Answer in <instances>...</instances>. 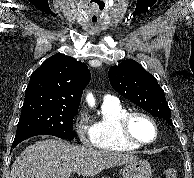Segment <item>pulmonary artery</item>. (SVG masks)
Wrapping results in <instances>:
<instances>
[{
    "mask_svg": "<svg viewBox=\"0 0 194 178\" xmlns=\"http://www.w3.org/2000/svg\"><path fill=\"white\" fill-rule=\"evenodd\" d=\"M107 100H113V97H111V96H105L104 97V101H107Z\"/></svg>",
    "mask_w": 194,
    "mask_h": 178,
    "instance_id": "pulmonary-artery-1",
    "label": "pulmonary artery"
}]
</instances>
